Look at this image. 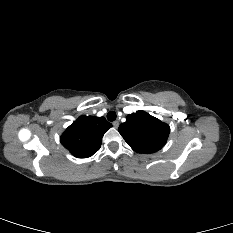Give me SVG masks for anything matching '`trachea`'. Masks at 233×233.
<instances>
[{
  "label": "trachea",
  "mask_w": 233,
  "mask_h": 233,
  "mask_svg": "<svg viewBox=\"0 0 233 233\" xmlns=\"http://www.w3.org/2000/svg\"><path fill=\"white\" fill-rule=\"evenodd\" d=\"M107 119L111 122L114 121L116 119V113L114 111H110L107 114Z\"/></svg>",
  "instance_id": "obj_1"
}]
</instances>
